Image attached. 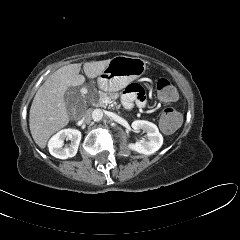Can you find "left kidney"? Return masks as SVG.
<instances>
[{"instance_id":"1","label":"left kidney","mask_w":240,"mask_h":240,"mask_svg":"<svg viewBox=\"0 0 240 240\" xmlns=\"http://www.w3.org/2000/svg\"><path fill=\"white\" fill-rule=\"evenodd\" d=\"M131 126L136 132L140 130L146 132L147 140L143 139L136 143H129L130 150L144 155H151L160 149L163 144V137L155 124L145 120H135Z\"/></svg>"}]
</instances>
